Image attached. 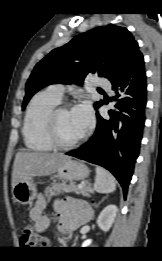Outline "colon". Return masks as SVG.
I'll list each match as a JSON object with an SVG mask.
<instances>
[{
	"label": "colon",
	"mask_w": 162,
	"mask_h": 261,
	"mask_svg": "<svg viewBox=\"0 0 162 261\" xmlns=\"http://www.w3.org/2000/svg\"><path fill=\"white\" fill-rule=\"evenodd\" d=\"M20 244L24 248H40L45 247L47 241L35 233L31 226H27L20 235Z\"/></svg>",
	"instance_id": "5ec220e1"
}]
</instances>
